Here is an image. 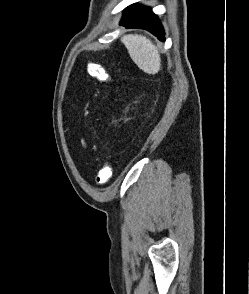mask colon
Here are the masks:
<instances>
[{
    "label": "colon",
    "mask_w": 249,
    "mask_h": 294,
    "mask_svg": "<svg viewBox=\"0 0 249 294\" xmlns=\"http://www.w3.org/2000/svg\"><path fill=\"white\" fill-rule=\"evenodd\" d=\"M88 73L91 77H94L103 82H107L110 79V76L107 73V71L99 65H90L88 68ZM112 173H113V168L111 164L109 163L105 164L100 169V171L98 172L96 176V183L98 185H103L107 183L110 180Z\"/></svg>",
    "instance_id": "5ec220e1"
}]
</instances>
